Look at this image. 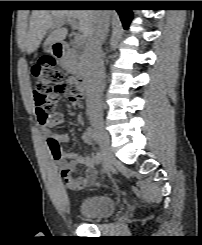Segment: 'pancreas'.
Here are the masks:
<instances>
[{
  "mask_svg": "<svg viewBox=\"0 0 202 245\" xmlns=\"http://www.w3.org/2000/svg\"><path fill=\"white\" fill-rule=\"evenodd\" d=\"M61 66L70 74L76 75L82 69L83 63L76 52H71L61 60Z\"/></svg>",
  "mask_w": 202,
  "mask_h": 245,
  "instance_id": "obj_1",
  "label": "pancreas"
}]
</instances>
